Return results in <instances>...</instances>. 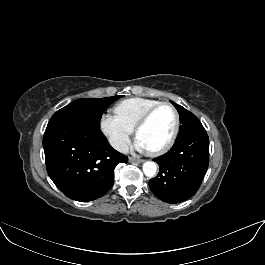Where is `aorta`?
<instances>
[{"instance_id": "1", "label": "aorta", "mask_w": 265, "mask_h": 265, "mask_svg": "<svg viewBox=\"0 0 265 265\" xmlns=\"http://www.w3.org/2000/svg\"><path fill=\"white\" fill-rule=\"evenodd\" d=\"M143 172L147 177H153L156 175L157 172V165L153 161H146L143 164Z\"/></svg>"}]
</instances>
